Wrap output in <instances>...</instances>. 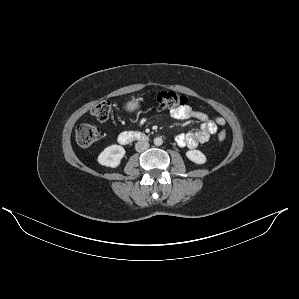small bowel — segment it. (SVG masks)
<instances>
[{"label":"small bowel","mask_w":299,"mask_h":299,"mask_svg":"<svg viewBox=\"0 0 299 299\" xmlns=\"http://www.w3.org/2000/svg\"><path fill=\"white\" fill-rule=\"evenodd\" d=\"M173 118L179 120L196 119L201 122L200 129L195 132L181 133L176 136L175 141L181 147L194 148L198 145L204 144L209 141L211 136L216 133L219 127L225 125V120L218 117L210 120L208 115L204 112L193 109L189 105L174 108L170 110ZM144 120L139 121V126H142Z\"/></svg>","instance_id":"obj_1"}]
</instances>
